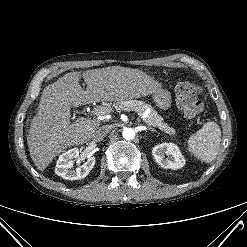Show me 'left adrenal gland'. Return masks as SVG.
<instances>
[{
    "label": "left adrenal gland",
    "mask_w": 247,
    "mask_h": 247,
    "mask_svg": "<svg viewBox=\"0 0 247 247\" xmlns=\"http://www.w3.org/2000/svg\"><path fill=\"white\" fill-rule=\"evenodd\" d=\"M151 132L155 133L156 131L154 129H150Z\"/></svg>",
    "instance_id": "1"
}]
</instances>
